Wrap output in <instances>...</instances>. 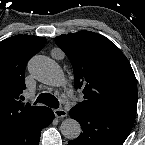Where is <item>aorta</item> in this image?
<instances>
[{
    "label": "aorta",
    "mask_w": 145,
    "mask_h": 145,
    "mask_svg": "<svg viewBox=\"0 0 145 145\" xmlns=\"http://www.w3.org/2000/svg\"><path fill=\"white\" fill-rule=\"evenodd\" d=\"M28 69L38 81L44 84L59 86L64 81L60 67L48 57L40 55L33 57L28 64ZM60 130L65 138L73 140L80 135L81 126L77 120L67 118L61 123Z\"/></svg>",
    "instance_id": "762f6f07"
}]
</instances>
